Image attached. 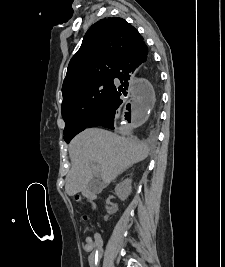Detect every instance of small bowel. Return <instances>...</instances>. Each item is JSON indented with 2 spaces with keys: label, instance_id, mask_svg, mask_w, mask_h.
<instances>
[{
  "label": "small bowel",
  "instance_id": "1",
  "mask_svg": "<svg viewBox=\"0 0 225 267\" xmlns=\"http://www.w3.org/2000/svg\"><path fill=\"white\" fill-rule=\"evenodd\" d=\"M97 244L94 246L92 250H90V255L88 257V262L91 267L97 263V261L102 257V248H101V240L100 237L97 236Z\"/></svg>",
  "mask_w": 225,
  "mask_h": 267
}]
</instances>
